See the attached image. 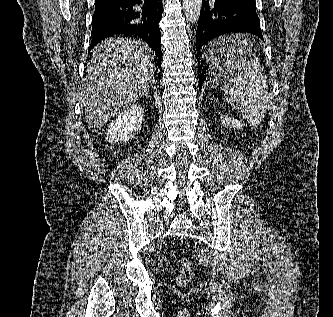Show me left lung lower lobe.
<instances>
[{
    "mask_svg": "<svg viewBox=\"0 0 333 317\" xmlns=\"http://www.w3.org/2000/svg\"><path fill=\"white\" fill-rule=\"evenodd\" d=\"M235 33H251L263 40L255 0H202L196 37L199 89L208 77V69L228 55L222 44L204 53L202 46L220 35Z\"/></svg>",
    "mask_w": 333,
    "mask_h": 317,
    "instance_id": "obj_1",
    "label": "left lung lower lobe"
}]
</instances>
